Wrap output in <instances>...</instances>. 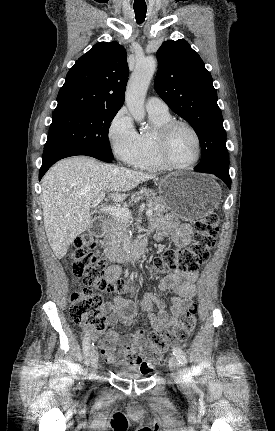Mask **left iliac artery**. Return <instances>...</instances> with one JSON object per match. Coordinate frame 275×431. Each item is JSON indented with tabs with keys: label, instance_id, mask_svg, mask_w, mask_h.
I'll list each match as a JSON object with an SVG mask.
<instances>
[{
	"label": "left iliac artery",
	"instance_id": "obj_1",
	"mask_svg": "<svg viewBox=\"0 0 275 431\" xmlns=\"http://www.w3.org/2000/svg\"><path fill=\"white\" fill-rule=\"evenodd\" d=\"M173 355L177 358L179 364L183 367V372L186 377L190 378L191 374L189 368L187 367V358L184 351L179 347H175L173 348Z\"/></svg>",
	"mask_w": 275,
	"mask_h": 431
}]
</instances>
